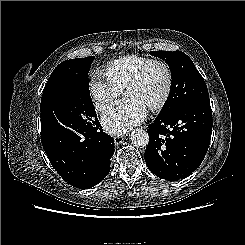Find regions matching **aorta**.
<instances>
[{
  "label": "aorta",
  "instance_id": "762f6f07",
  "mask_svg": "<svg viewBox=\"0 0 245 245\" xmlns=\"http://www.w3.org/2000/svg\"><path fill=\"white\" fill-rule=\"evenodd\" d=\"M130 141L135 147H146L149 142V135L143 129H136L131 133Z\"/></svg>",
  "mask_w": 245,
  "mask_h": 245
}]
</instances>
